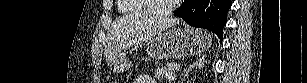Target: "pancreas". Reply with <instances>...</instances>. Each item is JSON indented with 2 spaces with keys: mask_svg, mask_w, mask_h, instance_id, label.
Instances as JSON below:
<instances>
[{
  "mask_svg": "<svg viewBox=\"0 0 307 83\" xmlns=\"http://www.w3.org/2000/svg\"><path fill=\"white\" fill-rule=\"evenodd\" d=\"M170 73H172V71L169 68H157L154 72V77L163 80L168 78Z\"/></svg>",
  "mask_w": 307,
  "mask_h": 83,
  "instance_id": "1",
  "label": "pancreas"
}]
</instances>
